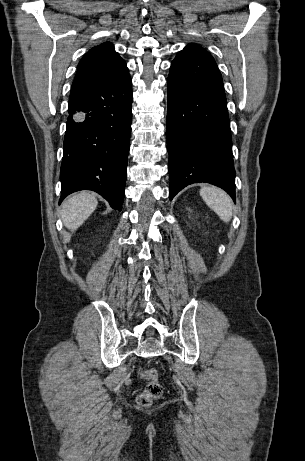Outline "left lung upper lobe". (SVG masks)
Here are the masks:
<instances>
[{"label":"left lung upper lobe","instance_id":"obj_1","mask_svg":"<svg viewBox=\"0 0 305 461\" xmlns=\"http://www.w3.org/2000/svg\"><path fill=\"white\" fill-rule=\"evenodd\" d=\"M184 50L199 51V52H202V53H207V54H209V53H208L207 51H205L203 48H201L200 46L195 45V44H190V45L186 46Z\"/></svg>","mask_w":305,"mask_h":461}]
</instances>
